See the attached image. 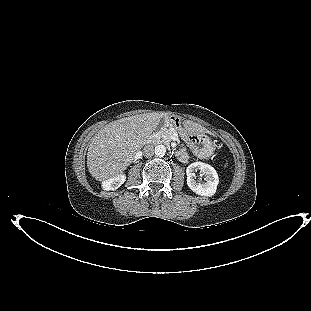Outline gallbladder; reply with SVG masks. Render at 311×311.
<instances>
[{
    "instance_id": "bac80fb5",
    "label": "gallbladder",
    "mask_w": 311,
    "mask_h": 311,
    "mask_svg": "<svg viewBox=\"0 0 311 311\" xmlns=\"http://www.w3.org/2000/svg\"><path fill=\"white\" fill-rule=\"evenodd\" d=\"M162 123H163V120H161V122H160V126L162 125Z\"/></svg>"
}]
</instances>
